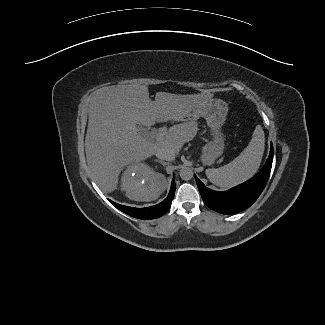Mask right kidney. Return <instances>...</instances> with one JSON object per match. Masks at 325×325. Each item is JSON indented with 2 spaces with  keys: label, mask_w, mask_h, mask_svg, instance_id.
Wrapping results in <instances>:
<instances>
[{
  "label": "right kidney",
  "mask_w": 325,
  "mask_h": 325,
  "mask_svg": "<svg viewBox=\"0 0 325 325\" xmlns=\"http://www.w3.org/2000/svg\"><path fill=\"white\" fill-rule=\"evenodd\" d=\"M121 187L132 200L152 201L165 190L166 179L164 175L141 163L128 167L122 177Z\"/></svg>",
  "instance_id": "right-kidney-1"
}]
</instances>
